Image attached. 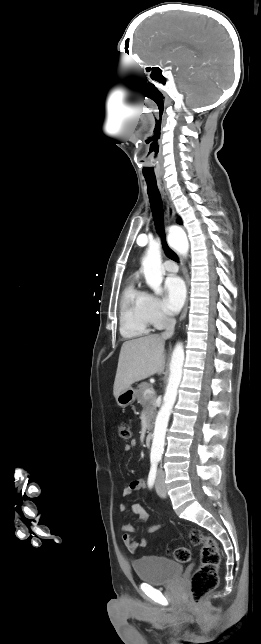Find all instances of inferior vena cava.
<instances>
[{"label": "inferior vena cava", "mask_w": 261, "mask_h": 644, "mask_svg": "<svg viewBox=\"0 0 261 644\" xmlns=\"http://www.w3.org/2000/svg\"><path fill=\"white\" fill-rule=\"evenodd\" d=\"M175 323L176 320L174 318H168V326L166 328V331L162 333L163 338H167L173 334ZM160 472L162 471L160 470Z\"/></svg>", "instance_id": "obj_1"}]
</instances>
